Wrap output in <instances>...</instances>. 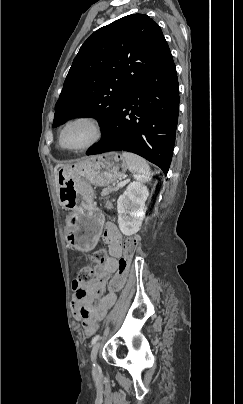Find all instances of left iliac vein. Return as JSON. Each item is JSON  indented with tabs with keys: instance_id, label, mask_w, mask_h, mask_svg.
Wrapping results in <instances>:
<instances>
[{
	"instance_id": "left-iliac-vein-1",
	"label": "left iliac vein",
	"mask_w": 243,
	"mask_h": 404,
	"mask_svg": "<svg viewBox=\"0 0 243 404\" xmlns=\"http://www.w3.org/2000/svg\"><path fill=\"white\" fill-rule=\"evenodd\" d=\"M101 342H96L91 350V361L93 363L94 368H97V354H98V350L100 348Z\"/></svg>"
}]
</instances>
